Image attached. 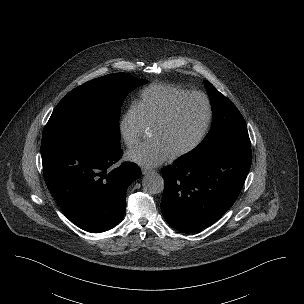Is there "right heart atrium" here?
I'll return each mask as SVG.
<instances>
[{
  "mask_svg": "<svg viewBox=\"0 0 304 304\" xmlns=\"http://www.w3.org/2000/svg\"><path fill=\"white\" fill-rule=\"evenodd\" d=\"M148 128L136 103H132L126 109L118 124L121 139L128 147L135 146L146 134Z\"/></svg>",
  "mask_w": 304,
  "mask_h": 304,
  "instance_id": "obj_1",
  "label": "right heart atrium"
}]
</instances>
